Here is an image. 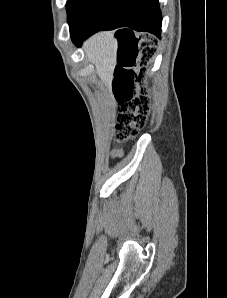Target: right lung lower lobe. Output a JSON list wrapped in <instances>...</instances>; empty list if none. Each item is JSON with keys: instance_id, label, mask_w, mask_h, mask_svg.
Listing matches in <instances>:
<instances>
[{"instance_id": "right-lung-lower-lobe-1", "label": "right lung lower lobe", "mask_w": 227, "mask_h": 298, "mask_svg": "<svg viewBox=\"0 0 227 298\" xmlns=\"http://www.w3.org/2000/svg\"><path fill=\"white\" fill-rule=\"evenodd\" d=\"M162 15L158 0H109L84 27L71 35L73 43L81 46L82 42L100 30H117L119 41L118 64L125 65V47L129 40H134V32H150L160 38ZM122 68L116 67L114 80L122 74ZM115 92V91H114Z\"/></svg>"}]
</instances>
